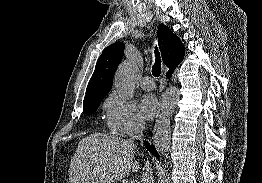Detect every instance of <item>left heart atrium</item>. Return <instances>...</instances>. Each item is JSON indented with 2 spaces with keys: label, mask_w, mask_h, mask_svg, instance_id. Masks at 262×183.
<instances>
[{
  "label": "left heart atrium",
  "mask_w": 262,
  "mask_h": 183,
  "mask_svg": "<svg viewBox=\"0 0 262 183\" xmlns=\"http://www.w3.org/2000/svg\"><path fill=\"white\" fill-rule=\"evenodd\" d=\"M139 107L140 112L144 118H152L157 109V100L155 96L152 94L144 95L140 100Z\"/></svg>",
  "instance_id": "left-heart-atrium-1"
}]
</instances>
